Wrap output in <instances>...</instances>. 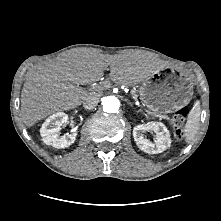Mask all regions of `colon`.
Here are the masks:
<instances>
[{
    "label": "colon",
    "instance_id": "1",
    "mask_svg": "<svg viewBox=\"0 0 221 221\" xmlns=\"http://www.w3.org/2000/svg\"><path fill=\"white\" fill-rule=\"evenodd\" d=\"M188 115V109L182 107L178 109L172 116L171 122L174 130V134L178 139L184 136V124Z\"/></svg>",
    "mask_w": 221,
    "mask_h": 221
}]
</instances>
